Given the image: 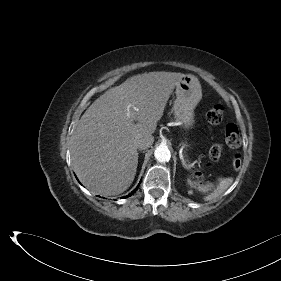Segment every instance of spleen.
I'll list each match as a JSON object with an SVG mask.
<instances>
[{"label": "spleen", "instance_id": "obj_1", "mask_svg": "<svg viewBox=\"0 0 281 281\" xmlns=\"http://www.w3.org/2000/svg\"><path fill=\"white\" fill-rule=\"evenodd\" d=\"M188 183L190 184V186H195L194 183L189 180ZM233 183V178H224L221 179L217 185V187L207 196H205L204 200L205 201H212L214 199H216L218 196H220L221 194H223L229 187L230 185ZM199 189L202 191H205L208 189V187H204V186H199Z\"/></svg>", "mask_w": 281, "mask_h": 281}]
</instances>
